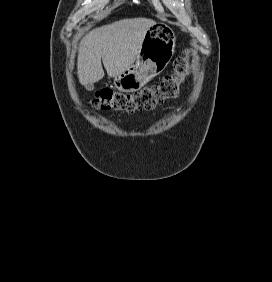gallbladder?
I'll list each match as a JSON object with an SVG mask.
<instances>
[{
    "label": "gallbladder",
    "mask_w": 272,
    "mask_h": 282,
    "mask_svg": "<svg viewBox=\"0 0 272 282\" xmlns=\"http://www.w3.org/2000/svg\"><path fill=\"white\" fill-rule=\"evenodd\" d=\"M86 89H87V90H92V89H93V86H92L91 84H87V85H86Z\"/></svg>",
    "instance_id": "gallbladder-1"
}]
</instances>
